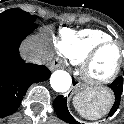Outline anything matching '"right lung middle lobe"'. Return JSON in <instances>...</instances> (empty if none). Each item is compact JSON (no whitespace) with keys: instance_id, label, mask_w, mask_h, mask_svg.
Instances as JSON below:
<instances>
[{"instance_id":"dd1d6c3e","label":"right lung middle lobe","mask_w":124,"mask_h":124,"mask_svg":"<svg viewBox=\"0 0 124 124\" xmlns=\"http://www.w3.org/2000/svg\"><path fill=\"white\" fill-rule=\"evenodd\" d=\"M35 20V15H30L17 8L0 13V24H27L34 23Z\"/></svg>"}]
</instances>
